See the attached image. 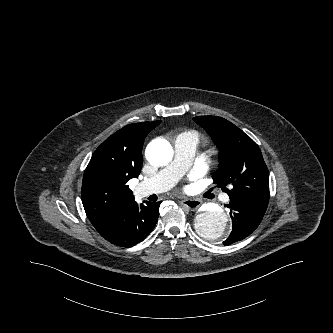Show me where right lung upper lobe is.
Here are the masks:
<instances>
[{
  "label": "right lung upper lobe",
  "mask_w": 333,
  "mask_h": 333,
  "mask_svg": "<svg viewBox=\"0 0 333 333\" xmlns=\"http://www.w3.org/2000/svg\"><path fill=\"white\" fill-rule=\"evenodd\" d=\"M161 121L127 125L107 138L85 169L81 198L94 227L134 201L127 182L139 176L145 137Z\"/></svg>",
  "instance_id": "right-lung-upper-lobe-1"
}]
</instances>
